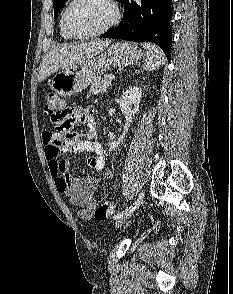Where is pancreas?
Listing matches in <instances>:
<instances>
[{
	"label": "pancreas",
	"mask_w": 233,
	"mask_h": 294,
	"mask_svg": "<svg viewBox=\"0 0 233 294\" xmlns=\"http://www.w3.org/2000/svg\"><path fill=\"white\" fill-rule=\"evenodd\" d=\"M110 85H111V81H110L108 75H104L103 77H98L91 84V86L89 88V94L87 96L89 97L90 95H95V94H98V93L103 94V93L106 92V89Z\"/></svg>",
	"instance_id": "pancreas-1"
}]
</instances>
